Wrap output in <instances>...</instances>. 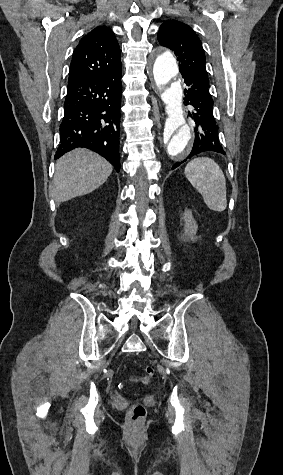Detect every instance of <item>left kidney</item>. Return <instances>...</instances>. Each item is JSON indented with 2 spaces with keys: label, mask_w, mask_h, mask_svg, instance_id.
Returning <instances> with one entry per match:
<instances>
[{
  "label": "left kidney",
  "mask_w": 283,
  "mask_h": 475,
  "mask_svg": "<svg viewBox=\"0 0 283 475\" xmlns=\"http://www.w3.org/2000/svg\"><path fill=\"white\" fill-rule=\"evenodd\" d=\"M183 220L185 222V226L184 234H182L181 239H183V241H194V239H196L198 226L192 216L191 210H185L183 214Z\"/></svg>",
  "instance_id": "5707ae66"
}]
</instances>
